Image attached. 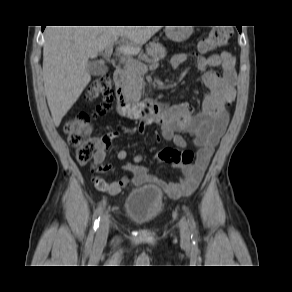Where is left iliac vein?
<instances>
[{"mask_svg": "<svg viewBox=\"0 0 292 292\" xmlns=\"http://www.w3.org/2000/svg\"><path fill=\"white\" fill-rule=\"evenodd\" d=\"M179 228H180V235L183 241L187 242L189 240V230L187 223L184 219H181L179 222Z\"/></svg>", "mask_w": 292, "mask_h": 292, "instance_id": "obj_1", "label": "left iliac vein"}]
</instances>
